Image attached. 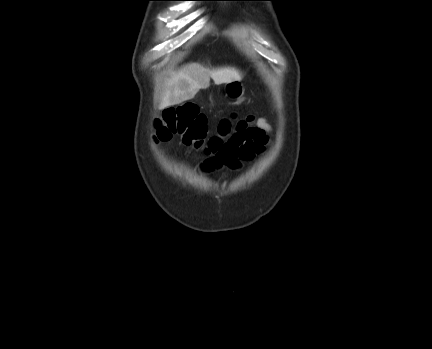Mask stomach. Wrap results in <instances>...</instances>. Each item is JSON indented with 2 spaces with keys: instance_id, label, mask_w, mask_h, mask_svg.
I'll return each mask as SVG.
<instances>
[{
  "instance_id": "1",
  "label": "stomach",
  "mask_w": 432,
  "mask_h": 349,
  "mask_svg": "<svg viewBox=\"0 0 432 349\" xmlns=\"http://www.w3.org/2000/svg\"><path fill=\"white\" fill-rule=\"evenodd\" d=\"M224 89L226 96L231 100H239L244 93V87L241 80L226 83Z\"/></svg>"
}]
</instances>
